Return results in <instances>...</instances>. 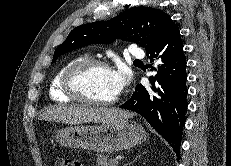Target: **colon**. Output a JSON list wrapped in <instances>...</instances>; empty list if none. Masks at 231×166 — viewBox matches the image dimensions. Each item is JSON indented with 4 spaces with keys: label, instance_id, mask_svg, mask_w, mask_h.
Returning a JSON list of instances; mask_svg holds the SVG:
<instances>
[{
    "label": "colon",
    "instance_id": "obj_1",
    "mask_svg": "<svg viewBox=\"0 0 231 166\" xmlns=\"http://www.w3.org/2000/svg\"><path fill=\"white\" fill-rule=\"evenodd\" d=\"M56 166H83L81 163L67 159V158H58L56 160Z\"/></svg>",
    "mask_w": 231,
    "mask_h": 166
}]
</instances>
